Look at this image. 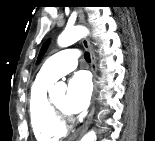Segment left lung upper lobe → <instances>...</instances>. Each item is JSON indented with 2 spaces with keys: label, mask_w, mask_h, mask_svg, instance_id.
I'll return each mask as SVG.
<instances>
[{
  "label": "left lung upper lobe",
  "mask_w": 155,
  "mask_h": 141,
  "mask_svg": "<svg viewBox=\"0 0 155 141\" xmlns=\"http://www.w3.org/2000/svg\"><path fill=\"white\" fill-rule=\"evenodd\" d=\"M47 46H48V42H46V43L42 46L41 51H40V54H39V57H38V61H39L40 57L43 55V53H44V51L46 50Z\"/></svg>",
  "instance_id": "obj_1"
}]
</instances>
